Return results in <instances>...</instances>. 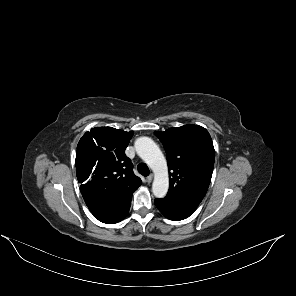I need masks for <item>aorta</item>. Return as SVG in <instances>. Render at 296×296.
Masks as SVG:
<instances>
[{"mask_svg":"<svg viewBox=\"0 0 296 296\" xmlns=\"http://www.w3.org/2000/svg\"><path fill=\"white\" fill-rule=\"evenodd\" d=\"M135 149L139 157L147 163L155 174L152 184L154 196L163 198L169 188L168 167L163 153L149 137L138 138L135 141Z\"/></svg>","mask_w":296,"mask_h":296,"instance_id":"1","label":"aorta"}]
</instances>
